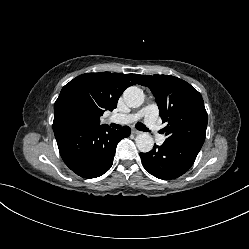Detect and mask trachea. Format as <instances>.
Listing matches in <instances>:
<instances>
[{
  "label": "trachea",
  "mask_w": 249,
  "mask_h": 249,
  "mask_svg": "<svg viewBox=\"0 0 249 249\" xmlns=\"http://www.w3.org/2000/svg\"><path fill=\"white\" fill-rule=\"evenodd\" d=\"M112 127H113V128H116V129H119L121 126L118 125V124H112ZM136 128H137L138 130H140V131H146V132L149 131V129H148L143 123H141V122H138V123L136 124Z\"/></svg>",
  "instance_id": "obj_1"
}]
</instances>
